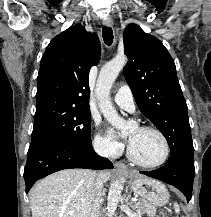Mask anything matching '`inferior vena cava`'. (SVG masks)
Returning <instances> with one entry per match:
<instances>
[{
  "label": "inferior vena cava",
  "mask_w": 211,
  "mask_h": 217,
  "mask_svg": "<svg viewBox=\"0 0 211 217\" xmlns=\"http://www.w3.org/2000/svg\"><path fill=\"white\" fill-rule=\"evenodd\" d=\"M95 151L101 155L106 157L109 153V147L106 144H100L95 147ZM102 189H103V180L100 176L95 181L94 189L92 193L91 200V210L90 217H101V205H102Z\"/></svg>",
  "instance_id": "602c4592"
}]
</instances>
